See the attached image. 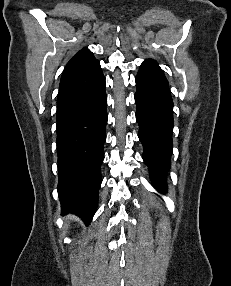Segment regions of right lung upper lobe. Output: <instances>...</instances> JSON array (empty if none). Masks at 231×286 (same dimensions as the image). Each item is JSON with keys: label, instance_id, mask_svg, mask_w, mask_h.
Wrapping results in <instances>:
<instances>
[{"label": "right lung upper lobe", "instance_id": "obj_1", "mask_svg": "<svg viewBox=\"0 0 231 286\" xmlns=\"http://www.w3.org/2000/svg\"><path fill=\"white\" fill-rule=\"evenodd\" d=\"M100 68L99 61L95 59L92 52L87 48H83L68 62L61 81L74 82L81 77L93 75Z\"/></svg>", "mask_w": 231, "mask_h": 286}]
</instances>
